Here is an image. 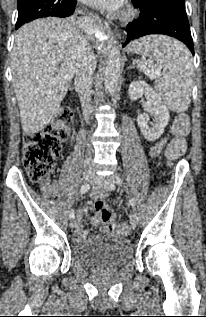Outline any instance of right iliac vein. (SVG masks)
Returning a JSON list of instances; mask_svg holds the SVG:
<instances>
[{
	"instance_id": "1",
	"label": "right iliac vein",
	"mask_w": 206,
	"mask_h": 317,
	"mask_svg": "<svg viewBox=\"0 0 206 317\" xmlns=\"http://www.w3.org/2000/svg\"><path fill=\"white\" fill-rule=\"evenodd\" d=\"M83 177H84L85 182H91L94 178V175H93V172L91 170H86V171H84ZM76 225H77V219L76 218L71 219L70 227L73 229L76 227Z\"/></svg>"
}]
</instances>
